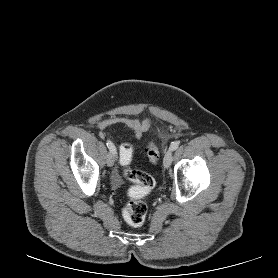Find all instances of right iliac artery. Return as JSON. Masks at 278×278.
I'll use <instances>...</instances> for the list:
<instances>
[{
  "instance_id": "82829eb1",
  "label": "right iliac artery",
  "mask_w": 278,
  "mask_h": 278,
  "mask_svg": "<svg viewBox=\"0 0 278 278\" xmlns=\"http://www.w3.org/2000/svg\"><path fill=\"white\" fill-rule=\"evenodd\" d=\"M106 145H107V147L109 148V150H110L111 152H113L114 154H116L115 146H114V144H113L110 140H107Z\"/></svg>"
}]
</instances>
